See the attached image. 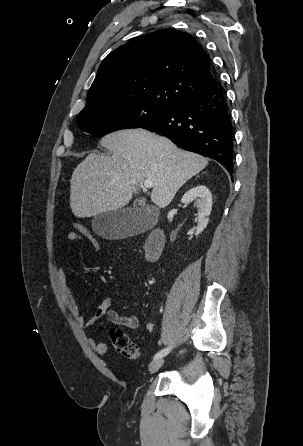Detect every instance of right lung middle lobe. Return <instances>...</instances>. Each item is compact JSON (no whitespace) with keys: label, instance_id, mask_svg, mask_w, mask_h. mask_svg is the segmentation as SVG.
<instances>
[{"label":"right lung middle lobe","instance_id":"right-lung-middle-lobe-1","mask_svg":"<svg viewBox=\"0 0 303 446\" xmlns=\"http://www.w3.org/2000/svg\"><path fill=\"white\" fill-rule=\"evenodd\" d=\"M171 108L140 101L115 103L81 111L76 121L81 130L101 137L120 129L140 128Z\"/></svg>","mask_w":303,"mask_h":446}]
</instances>
